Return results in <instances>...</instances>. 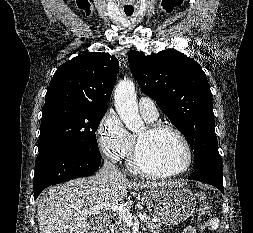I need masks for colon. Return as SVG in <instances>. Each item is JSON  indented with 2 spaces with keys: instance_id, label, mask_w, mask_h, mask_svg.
<instances>
[{
  "instance_id": "obj_1",
  "label": "colon",
  "mask_w": 253,
  "mask_h": 233,
  "mask_svg": "<svg viewBox=\"0 0 253 233\" xmlns=\"http://www.w3.org/2000/svg\"><path fill=\"white\" fill-rule=\"evenodd\" d=\"M199 200L201 203V210L198 215V225H199L200 233H213V230L210 226L209 205L205 199V195L200 194Z\"/></svg>"
}]
</instances>
